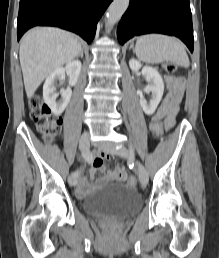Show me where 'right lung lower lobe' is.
Segmentation results:
<instances>
[{"mask_svg": "<svg viewBox=\"0 0 219 258\" xmlns=\"http://www.w3.org/2000/svg\"><path fill=\"white\" fill-rule=\"evenodd\" d=\"M112 0H20L17 39L33 26H56L91 43L97 22Z\"/></svg>", "mask_w": 219, "mask_h": 258, "instance_id": "1", "label": "right lung lower lobe"}]
</instances>
